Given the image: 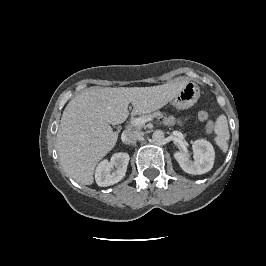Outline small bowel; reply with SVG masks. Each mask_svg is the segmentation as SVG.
Masks as SVG:
<instances>
[{
  "label": "small bowel",
  "instance_id": "c3829d8e",
  "mask_svg": "<svg viewBox=\"0 0 266 266\" xmlns=\"http://www.w3.org/2000/svg\"><path fill=\"white\" fill-rule=\"evenodd\" d=\"M169 122H170V123H172V122H173V119H172V118H170V119H169Z\"/></svg>",
  "mask_w": 266,
  "mask_h": 266
}]
</instances>
